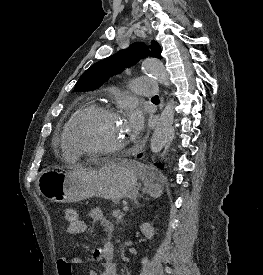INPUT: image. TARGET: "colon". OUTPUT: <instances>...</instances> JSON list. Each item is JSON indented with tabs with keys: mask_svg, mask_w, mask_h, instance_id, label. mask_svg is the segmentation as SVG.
I'll return each instance as SVG.
<instances>
[{
	"mask_svg": "<svg viewBox=\"0 0 263 275\" xmlns=\"http://www.w3.org/2000/svg\"><path fill=\"white\" fill-rule=\"evenodd\" d=\"M63 216L69 223H73L78 219L77 211L71 207H67L63 210ZM57 265L59 275H72V263L69 258H60Z\"/></svg>",
	"mask_w": 263,
	"mask_h": 275,
	"instance_id": "1",
	"label": "colon"
}]
</instances>
